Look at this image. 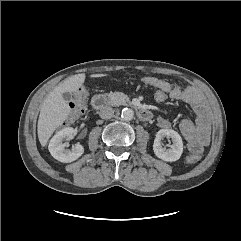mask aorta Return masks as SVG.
I'll use <instances>...</instances> for the list:
<instances>
[{"mask_svg":"<svg viewBox=\"0 0 241 241\" xmlns=\"http://www.w3.org/2000/svg\"><path fill=\"white\" fill-rule=\"evenodd\" d=\"M121 117L122 119H124L125 121H130L133 119L134 117V112L132 109L130 108H124L122 110V113H121Z\"/></svg>","mask_w":241,"mask_h":241,"instance_id":"762f6f07","label":"aorta"}]
</instances>
